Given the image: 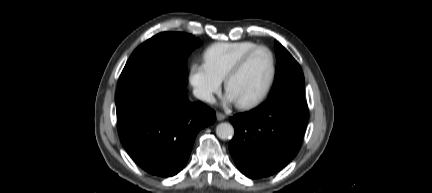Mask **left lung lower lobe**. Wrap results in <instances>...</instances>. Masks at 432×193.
I'll list each match as a JSON object with an SVG mask.
<instances>
[{
  "label": "left lung lower lobe",
  "mask_w": 432,
  "mask_h": 193,
  "mask_svg": "<svg viewBox=\"0 0 432 193\" xmlns=\"http://www.w3.org/2000/svg\"><path fill=\"white\" fill-rule=\"evenodd\" d=\"M307 114L305 99L277 97L231 117L235 135L229 150L239 170L261 178L285 167L299 150Z\"/></svg>",
  "instance_id": "obj_1"
}]
</instances>
